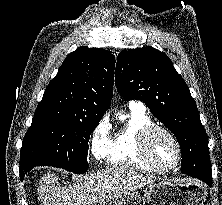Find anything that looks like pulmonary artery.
Here are the masks:
<instances>
[{
	"label": "pulmonary artery",
	"mask_w": 222,
	"mask_h": 205,
	"mask_svg": "<svg viewBox=\"0 0 222 205\" xmlns=\"http://www.w3.org/2000/svg\"><path fill=\"white\" fill-rule=\"evenodd\" d=\"M129 106L132 107V108H139L141 110H145V107L140 102L132 101V102H130Z\"/></svg>",
	"instance_id": "1"
}]
</instances>
